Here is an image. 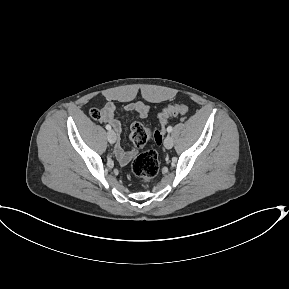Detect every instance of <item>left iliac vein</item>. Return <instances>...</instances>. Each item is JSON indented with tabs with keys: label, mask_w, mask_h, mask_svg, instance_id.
Masks as SVG:
<instances>
[{
	"label": "left iliac vein",
	"mask_w": 289,
	"mask_h": 289,
	"mask_svg": "<svg viewBox=\"0 0 289 289\" xmlns=\"http://www.w3.org/2000/svg\"><path fill=\"white\" fill-rule=\"evenodd\" d=\"M174 145V141H173V138L168 135L165 140H164V146L167 148V149H171Z\"/></svg>",
	"instance_id": "left-iliac-vein-1"
}]
</instances>
